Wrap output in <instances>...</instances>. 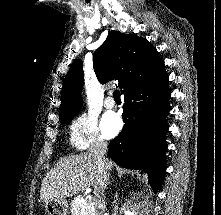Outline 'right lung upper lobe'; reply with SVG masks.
Segmentation results:
<instances>
[{
    "label": "right lung upper lobe",
    "instance_id": "cb5924a9",
    "mask_svg": "<svg viewBox=\"0 0 221 215\" xmlns=\"http://www.w3.org/2000/svg\"><path fill=\"white\" fill-rule=\"evenodd\" d=\"M93 68L100 83L118 80L124 94L163 70L164 62L146 39L111 31L93 56ZM83 83V63L78 59L72 63L64 79L60 119L80 111Z\"/></svg>",
    "mask_w": 221,
    "mask_h": 215
}]
</instances>
